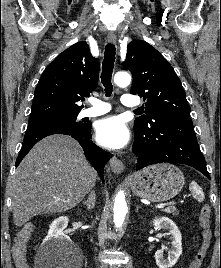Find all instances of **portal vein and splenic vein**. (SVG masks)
<instances>
[{"label":"portal vein and splenic vein","mask_w":221,"mask_h":268,"mask_svg":"<svg viewBox=\"0 0 221 268\" xmlns=\"http://www.w3.org/2000/svg\"><path fill=\"white\" fill-rule=\"evenodd\" d=\"M167 204L166 203H162V204H158L156 205L155 207L158 208V209H162L166 206Z\"/></svg>","instance_id":"18ae733b"}]
</instances>
